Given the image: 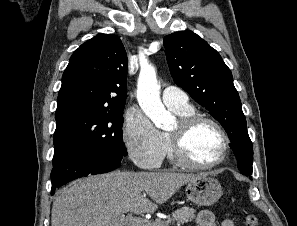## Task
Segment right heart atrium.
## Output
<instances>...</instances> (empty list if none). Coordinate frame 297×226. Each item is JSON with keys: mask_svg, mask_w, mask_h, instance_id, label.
Here are the masks:
<instances>
[{"mask_svg": "<svg viewBox=\"0 0 297 226\" xmlns=\"http://www.w3.org/2000/svg\"><path fill=\"white\" fill-rule=\"evenodd\" d=\"M123 142L132 161L142 169H154L160 165L166 144L160 133L138 107L126 113Z\"/></svg>", "mask_w": 297, "mask_h": 226, "instance_id": "right-heart-atrium-1", "label": "right heart atrium"}]
</instances>
